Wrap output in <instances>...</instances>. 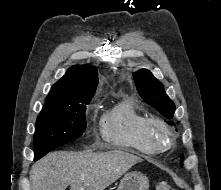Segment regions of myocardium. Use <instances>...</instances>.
<instances>
[{"label": "myocardium", "instance_id": "obj_1", "mask_svg": "<svg viewBox=\"0 0 221 190\" xmlns=\"http://www.w3.org/2000/svg\"><path fill=\"white\" fill-rule=\"evenodd\" d=\"M158 128L164 135L162 140L154 137V130ZM143 135L148 145L156 151H164L174 145V133L165 120L157 116L146 117L143 121Z\"/></svg>", "mask_w": 221, "mask_h": 190}]
</instances>
